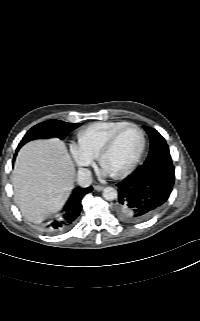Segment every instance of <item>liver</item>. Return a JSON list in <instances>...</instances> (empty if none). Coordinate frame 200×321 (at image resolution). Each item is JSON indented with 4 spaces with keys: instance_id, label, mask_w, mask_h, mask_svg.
Instances as JSON below:
<instances>
[{
    "instance_id": "liver-1",
    "label": "liver",
    "mask_w": 200,
    "mask_h": 321,
    "mask_svg": "<svg viewBox=\"0 0 200 321\" xmlns=\"http://www.w3.org/2000/svg\"><path fill=\"white\" fill-rule=\"evenodd\" d=\"M74 176V164L62 141H31L20 149L15 161V202L26 218L42 221L63 207L73 189Z\"/></svg>"
}]
</instances>
